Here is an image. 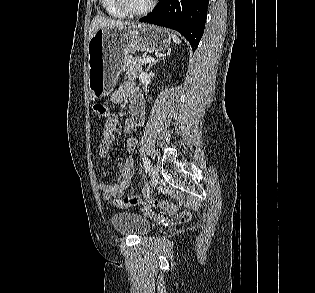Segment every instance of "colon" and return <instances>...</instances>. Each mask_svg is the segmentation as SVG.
<instances>
[{"mask_svg": "<svg viewBox=\"0 0 315 293\" xmlns=\"http://www.w3.org/2000/svg\"><path fill=\"white\" fill-rule=\"evenodd\" d=\"M94 113L101 118H106L109 115V109L104 103L97 102L93 105ZM114 204L123 209L130 207L144 205L160 208L164 213L174 214L176 212V206L173 203L164 200H158L155 198L144 199L139 195H129L122 199L114 200ZM180 220H185L188 218V214L183 213L178 217Z\"/></svg>", "mask_w": 315, "mask_h": 293, "instance_id": "1", "label": "colon"}]
</instances>
